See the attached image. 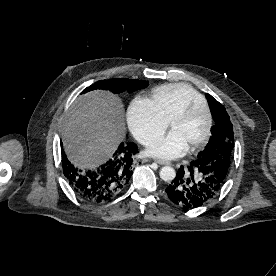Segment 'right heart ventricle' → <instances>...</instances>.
<instances>
[{"mask_svg": "<svg viewBox=\"0 0 276 276\" xmlns=\"http://www.w3.org/2000/svg\"><path fill=\"white\" fill-rule=\"evenodd\" d=\"M151 100L168 122L191 102H206L201 94L185 83L161 85L153 90Z\"/></svg>", "mask_w": 276, "mask_h": 276, "instance_id": "e07e8e85", "label": "right heart ventricle"}]
</instances>
